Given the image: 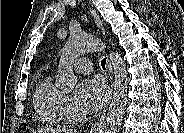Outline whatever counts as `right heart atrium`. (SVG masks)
<instances>
[{
    "label": "right heart atrium",
    "instance_id": "obj_1",
    "mask_svg": "<svg viewBox=\"0 0 184 133\" xmlns=\"http://www.w3.org/2000/svg\"><path fill=\"white\" fill-rule=\"evenodd\" d=\"M63 115L64 118H72L75 114V110L69 98L63 97Z\"/></svg>",
    "mask_w": 184,
    "mask_h": 133
}]
</instances>
